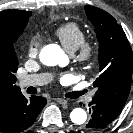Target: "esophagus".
<instances>
[{"label": "esophagus", "instance_id": "34e87169", "mask_svg": "<svg viewBox=\"0 0 133 133\" xmlns=\"http://www.w3.org/2000/svg\"><path fill=\"white\" fill-rule=\"evenodd\" d=\"M55 101L62 104V105H66L67 104V100L63 99V98H55Z\"/></svg>", "mask_w": 133, "mask_h": 133}]
</instances>
